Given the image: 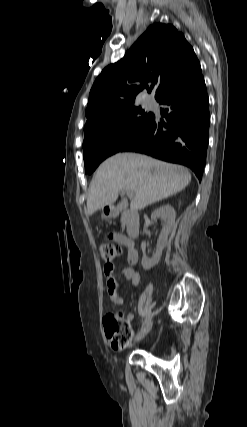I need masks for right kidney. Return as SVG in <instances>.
I'll return each instance as SVG.
<instances>
[{
	"label": "right kidney",
	"instance_id": "1",
	"mask_svg": "<svg viewBox=\"0 0 247 427\" xmlns=\"http://www.w3.org/2000/svg\"><path fill=\"white\" fill-rule=\"evenodd\" d=\"M157 218H160L163 221L162 231L157 241V249L154 256L152 258H147V257L142 258V266L145 270H149L153 266L159 263L161 259L162 251L167 244L168 235L170 234L174 226L176 212L171 205L169 204L163 205L157 208L151 214L152 220H156Z\"/></svg>",
	"mask_w": 247,
	"mask_h": 427
}]
</instances>
